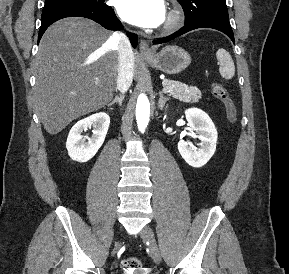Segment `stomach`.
Listing matches in <instances>:
<instances>
[{"mask_svg": "<svg viewBox=\"0 0 289 274\" xmlns=\"http://www.w3.org/2000/svg\"><path fill=\"white\" fill-rule=\"evenodd\" d=\"M155 69L170 75L178 74L191 63L190 54L183 48L175 45L164 47L159 53L145 57Z\"/></svg>", "mask_w": 289, "mask_h": 274, "instance_id": "obj_1", "label": "stomach"}]
</instances>
